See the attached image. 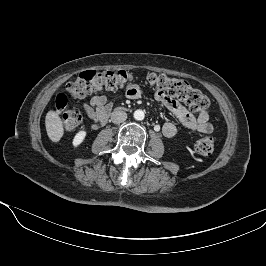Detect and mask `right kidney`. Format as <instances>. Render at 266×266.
<instances>
[{
	"label": "right kidney",
	"instance_id": "obj_1",
	"mask_svg": "<svg viewBox=\"0 0 266 266\" xmlns=\"http://www.w3.org/2000/svg\"><path fill=\"white\" fill-rule=\"evenodd\" d=\"M85 137H86V131H79L76 135H75V137H74V139H73V146L74 147H77V146H79L83 141H84V139H85Z\"/></svg>",
	"mask_w": 266,
	"mask_h": 266
}]
</instances>
